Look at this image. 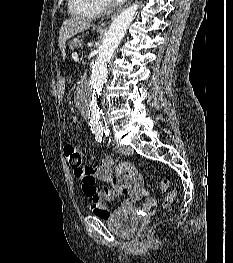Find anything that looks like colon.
Returning a JSON list of instances; mask_svg holds the SVG:
<instances>
[{
  "label": "colon",
  "mask_w": 233,
  "mask_h": 263,
  "mask_svg": "<svg viewBox=\"0 0 233 263\" xmlns=\"http://www.w3.org/2000/svg\"><path fill=\"white\" fill-rule=\"evenodd\" d=\"M64 154L69 165L74 170L76 175H86L90 172L89 168L83 166V152L79 148H77L74 145L67 144L64 147ZM168 185H169L168 180L164 179L160 182L159 188L162 192H165L168 188ZM176 196H177V191L176 190L171 191L167 195L164 205L166 207L171 206L174 200L176 199Z\"/></svg>",
  "instance_id": "colon-1"
}]
</instances>
